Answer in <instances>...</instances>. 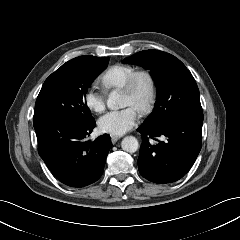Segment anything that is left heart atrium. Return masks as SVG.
Wrapping results in <instances>:
<instances>
[{
	"instance_id": "1",
	"label": "left heart atrium",
	"mask_w": 240,
	"mask_h": 240,
	"mask_svg": "<svg viewBox=\"0 0 240 240\" xmlns=\"http://www.w3.org/2000/svg\"><path fill=\"white\" fill-rule=\"evenodd\" d=\"M136 119L137 112L131 107H126L105 113L99 118L98 127L103 133L122 135L135 125Z\"/></svg>"
}]
</instances>
